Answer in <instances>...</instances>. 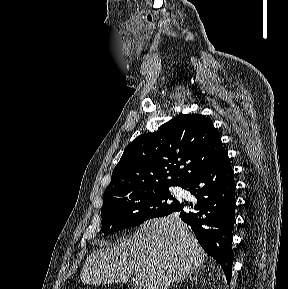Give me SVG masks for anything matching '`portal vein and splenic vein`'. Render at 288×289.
Here are the masks:
<instances>
[{"label": "portal vein and splenic vein", "mask_w": 288, "mask_h": 289, "mask_svg": "<svg viewBox=\"0 0 288 289\" xmlns=\"http://www.w3.org/2000/svg\"><path fill=\"white\" fill-rule=\"evenodd\" d=\"M141 281H142V278L140 276H137V278L135 280V286L140 287Z\"/></svg>", "instance_id": "1"}]
</instances>
